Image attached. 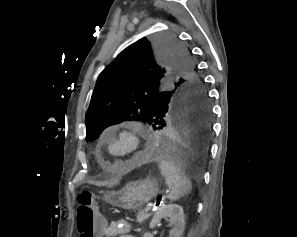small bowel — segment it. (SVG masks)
Wrapping results in <instances>:
<instances>
[{
  "label": "small bowel",
  "instance_id": "small-bowel-1",
  "mask_svg": "<svg viewBox=\"0 0 297 237\" xmlns=\"http://www.w3.org/2000/svg\"><path fill=\"white\" fill-rule=\"evenodd\" d=\"M134 237L130 234V224L124 219H117L110 224L103 223L98 237Z\"/></svg>",
  "mask_w": 297,
  "mask_h": 237
}]
</instances>
